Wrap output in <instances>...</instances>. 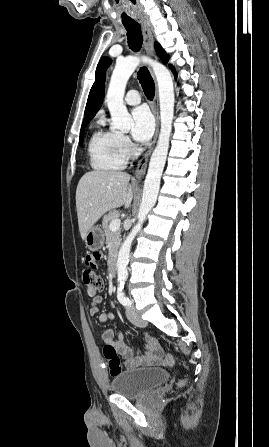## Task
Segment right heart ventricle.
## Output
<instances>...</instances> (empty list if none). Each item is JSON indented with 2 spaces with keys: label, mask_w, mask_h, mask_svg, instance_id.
<instances>
[{
  "label": "right heart ventricle",
  "mask_w": 269,
  "mask_h": 447,
  "mask_svg": "<svg viewBox=\"0 0 269 447\" xmlns=\"http://www.w3.org/2000/svg\"><path fill=\"white\" fill-rule=\"evenodd\" d=\"M90 163L94 169H118L125 162V154L121 149L120 134L112 129L99 128L94 133L89 145Z\"/></svg>",
  "instance_id": "obj_1"
}]
</instances>
